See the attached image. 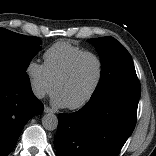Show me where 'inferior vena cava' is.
Returning <instances> with one entry per match:
<instances>
[{
  "label": "inferior vena cava",
  "mask_w": 156,
  "mask_h": 156,
  "mask_svg": "<svg viewBox=\"0 0 156 156\" xmlns=\"http://www.w3.org/2000/svg\"><path fill=\"white\" fill-rule=\"evenodd\" d=\"M32 90H33L34 95L40 99L43 98L46 94L44 88L38 85H33Z\"/></svg>",
  "instance_id": "602c4592"
}]
</instances>
